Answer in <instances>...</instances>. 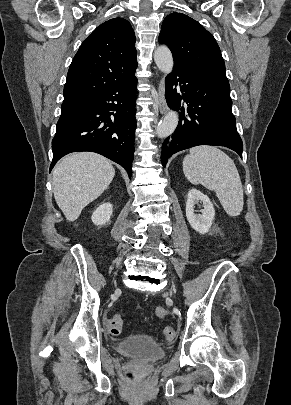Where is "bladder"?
Returning <instances> with one entry per match:
<instances>
[{"label": "bladder", "mask_w": 291, "mask_h": 405, "mask_svg": "<svg viewBox=\"0 0 291 405\" xmlns=\"http://www.w3.org/2000/svg\"><path fill=\"white\" fill-rule=\"evenodd\" d=\"M115 350L122 356L156 361L166 355V347L153 337L134 334L119 340Z\"/></svg>", "instance_id": "1"}]
</instances>
